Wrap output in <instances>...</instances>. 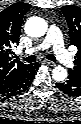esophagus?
Listing matches in <instances>:
<instances>
[{
	"label": "esophagus",
	"instance_id": "34e87169",
	"mask_svg": "<svg viewBox=\"0 0 81 124\" xmlns=\"http://www.w3.org/2000/svg\"><path fill=\"white\" fill-rule=\"evenodd\" d=\"M46 63H47L49 66H52V67H53V66H56V63L53 62V61L47 60Z\"/></svg>",
	"mask_w": 81,
	"mask_h": 124
}]
</instances>
